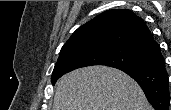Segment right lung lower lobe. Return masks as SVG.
Instances as JSON below:
<instances>
[{"label": "right lung lower lobe", "mask_w": 171, "mask_h": 110, "mask_svg": "<svg viewBox=\"0 0 171 110\" xmlns=\"http://www.w3.org/2000/svg\"><path fill=\"white\" fill-rule=\"evenodd\" d=\"M131 76L144 91L147 100L155 110L169 109V81L164 58L159 54L157 60L144 68L122 70Z\"/></svg>", "instance_id": "right-lung-lower-lobe-1"}]
</instances>
